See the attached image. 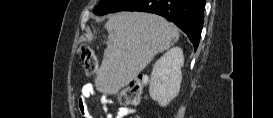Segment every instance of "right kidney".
<instances>
[{
  "instance_id": "1",
  "label": "right kidney",
  "mask_w": 273,
  "mask_h": 118,
  "mask_svg": "<svg viewBox=\"0 0 273 118\" xmlns=\"http://www.w3.org/2000/svg\"><path fill=\"white\" fill-rule=\"evenodd\" d=\"M183 64V51L179 47H173L155 63L150 77L149 93L160 105H167L178 95Z\"/></svg>"
}]
</instances>
